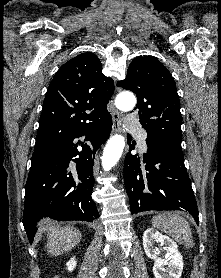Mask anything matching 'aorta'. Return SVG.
I'll return each instance as SVG.
<instances>
[{
  "label": "aorta",
  "instance_id": "1",
  "mask_svg": "<svg viewBox=\"0 0 221 278\" xmlns=\"http://www.w3.org/2000/svg\"><path fill=\"white\" fill-rule=\"evenodd\" d=\"M116 106L122 111L132 110L135 106L136 99L131 93H123L116 98ZM125 146V139L121 135L112 136L103 151L102 167L105 171L113 168L120 159Z\"/></svg>",
  "mask_w": 221,
  "mask_h": 278
}]
</instances>
